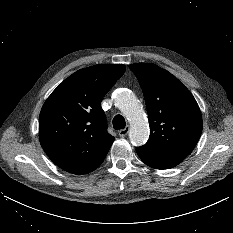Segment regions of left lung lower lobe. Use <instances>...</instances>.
<instances>
[{
    "instance_id": "left-lung-lower-lobe-1",
    "label": "left lung lower lobe",
    "mask_w": 233,
    "mask_h": 233,
    "mask_svg": "<svg viewBox=\"0 0 233 233\" xmlns=\"http://www.w3.org/2000/svg\"><path fill=\"white\" fill-rule=\"evenodd\" d=\"M136 152L146 165L155 169H169L177 166L184 160L182 157L152 152L143 147L136 148Z\"/></svg>"
}]
</instances>
